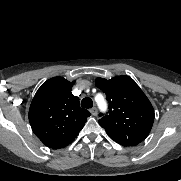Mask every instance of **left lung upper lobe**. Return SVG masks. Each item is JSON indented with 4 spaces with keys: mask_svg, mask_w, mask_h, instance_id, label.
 Here are the masks:
<instances>
[{
    "mask_svg": "<svg viewBox=\"0 0 181 181\" xmlns=\"http://www.w3.org/2000/svg\"><path fill=\"white\" fill-rule=\"evenodd\" d=\"M96 86L107 96L109 111L98 121L107 134L123 146H136L149 135L154 109L147 96L129 76L110 80L98 77Z\"/></svg>",
    "mask_w": 181,
    "mask_h": 181,
    "instance_id": "left-lung-upper-lobe-1",
    "label": "left lung upper lobe"
}]
</instances>
